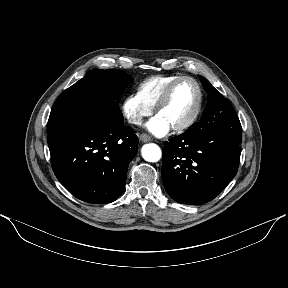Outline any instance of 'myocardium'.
I'll return each mask as SVG.
<instances>
[{"instance_id":"myocardium-1","label":"myocardium","mask_w":288,"mask_h":288,"mask_svg":"<svg viewBox=\"0 0 288 288\" xmlns=\"http://www.w3.org/2000/svg\"><path fill=\"white\" fill-rule=\"evenodd\" d=\"M184 80L191 81L195 85V87L197 89V102H196V106L194 108V111L192 112V114L190 115V117L186 121H184L181 124H178L176 126L171 127L172 130L175 132H182V131L189 129L193 124H195V122L199 118V115H200L201 109H202V104H203V91H202V88H201L200 84L198 83V81L196 79H194L193 77H190L187 75H182V76L177 77L171 83H169V85L165 88V90L163 91V93L159 97V99H158V101L154 107L155 113L158 114V112L169 101L171 94H172L174 88L177 86V84H179L181 81H184Z\"/></svg>"}]
</instances>
